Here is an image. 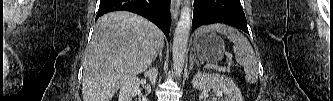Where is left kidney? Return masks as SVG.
<instances>
[{
	"mask_svg": "<svg viewBox=\"0 0 333 101\" xmlns=\"http://www.w3.org/2000/svg\"><path fill=\"white\" fill-rule=\"evenodd\" d=\"M193 88L198 90L213 89L217 94H224V101H243L240 90L234 81L224 75L197 73L192 80Z\"/></svg>",
	"mask_w": 333,
	"mask_h": 101,
	"instance_id": "left-kidney-1",
	"label": "left kidney"
}]
</instances>
